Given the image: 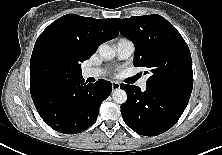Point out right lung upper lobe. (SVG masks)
I'll return each instance as SVG.
<instances>
[{"instance_id": "obj_1", "label": "right lung upper lobe", "mask_w": 222, "mask_h": 155, "mask_svg": "<svg viewBox=\"0 0 222 155\" xmlns=\"http://www.w3.org/2000/svg\"><path fill=\"white\" fill-rule=\"evenodd\" d=\"M119 34L114 19L67 14L50 24L38 37L30 61V91L36 94L63 79L90 58L99 45Z\"/></svg>"}]
</instances>
